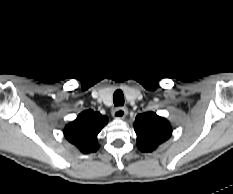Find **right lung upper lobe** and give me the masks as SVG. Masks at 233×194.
Returning <instances> with one entry per match:
<instances>
[{
	"label": "right lung upper lobe",
	"instance_id": "obj_1",
	"mask_svg": "<svg viewBox=\"0 0 233 194\" xmlns=\"http://www.w3.org/2000/svg\"><path fill=\"white\" fill-rule=\"evenodd\" d=\"M107 122L106 116H102L99 112L86 110L65 127L64 135L82 153L95 152L99 148L97 135Z\"/></svg>",
	"mask_w": 233,
	"mask_h": 194
}]
</instances>
